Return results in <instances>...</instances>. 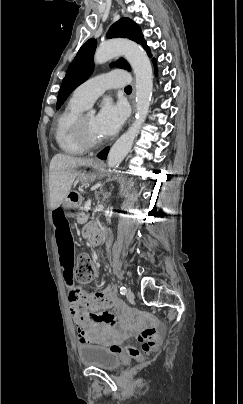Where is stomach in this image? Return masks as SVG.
Listing matches in <instances>:
<instances>
[{
  "instance_id": "obj_1",
  "label": "stomach",
  "mask_w": 243,
  "mask_h": 404,
  "mask_svg": "<svg viewBox=\"0 0 243 404\" xmlns=\"http://www.w3.org/2000/svg\"><path fill=\"white\" fill-rule=\"evenodd\" d=\"M91 168L93 169L92 172L83 173V174L79 175L80 181L86 182L87 180H94L97 177H100L105 171V166L100 161L93 162V164L91 165ZM64 206L66 209H72V208H76L78 206V203H75L72 200L66 199L64 201Z\"/></svg>"
}]
</instances>
